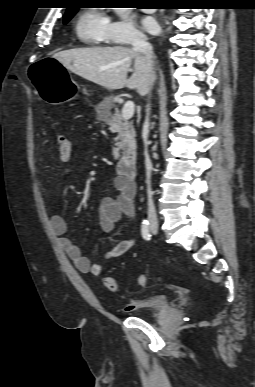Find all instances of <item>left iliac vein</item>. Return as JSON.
<instances>
[{"mask_svg":"<svg viewBox=\"0 0 255 387\" xmlns=\"http://www.w3.org/2000/svg\"><path fill=\"white\" fill-rule=\"evenodd\" d=\"M152 233L156 234L157 233V229L156 228H152Z\"/></svg>","mask_w":255,"mask_h":387,"instance_id":"4c4485c4","label":"left iliac vein"}]
</instances>
